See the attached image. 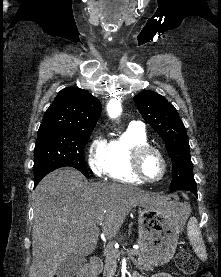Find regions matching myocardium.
<instances>
[{"label": "myocardium", "mask_w": 221, "mask_h": 277, "mask_svg": "<svg viewBox=\"0 0 221 277\" xmlns=\"http://www.w3.org/2000/svg\"><path fill=\"white\" fill-rule=\"evenodd\" d=\"M149 153H155L158 155L162 162V173L159 178L157 179H149L145 176L143 169H142V162L145 156ZM131 168L134 174L144 183H158L160 182L167 173V160L163 152L156 146H153L151 144H145L138 146L134 149L132 156H131Z\"/></svg>", "instance_id": "f54148a6"}]
</instances>
